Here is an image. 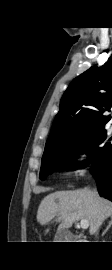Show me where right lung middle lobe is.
<instances>
[{
  "label": "right lung middle lobe",
  "mask_w": 112,
  "mask_h": 270,
  "mask_svg": "<svg viewBox=\"0 0 112 270\" xmlns=\"http://www.w3.org/2000/svg\"><path fill=\"white\" fill-rule=\"evenodd\" d=\"M106 137L107 133L103 127L66 143L45 146L40 178L44 179L53 171L74 170V167H86L90 163L91 172L96 171L112 149L111 143L102 145ZM81 153L89 155V160H85L80 166L75 164V159L76 155Z\"/></svg>",
  "instance_id": "obj_1"
}]
</instances>
